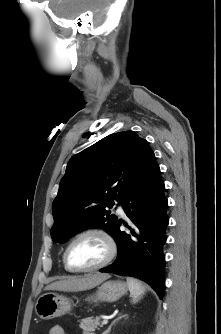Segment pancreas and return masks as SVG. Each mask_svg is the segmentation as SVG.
<instances>
[{"mask_svg": "<svg viewBox=\"0 0 221 334\" xmlns=\"http://www.w3.org/2000/svg\"><path fill=\"white\" fill-rule=\"evenodd\" d=\"M100 325V317H87L81 320L79 327L84 331H95ZM93 334V333H91Z\"/></svg>", "mask_w": 221, "mask_h": 334, "instance_id": "1", "label": "pancreas"}]
</instances>
